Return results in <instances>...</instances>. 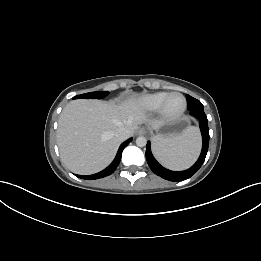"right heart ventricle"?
Returning a JSON list of instances; mask_svg holds the SVG:
<instances>
[{
  "instance_id": "obj_1",
  "label": "right heart ventricle",
  "mask_w": 261,
  "mask_h": 261,
  "mask_svg": "<svg viewBox=\"0 0 261 261\" xmlns=\"http://www.w3.org/2000/svg\"><path fill=\"white\" fill-rule=\"evenodd\" d=\"M169 93L167 92H156L147 94L140 97L137 100V106L147 112H156L160 109V106Z\"/></svg>"
}]
</instances>
